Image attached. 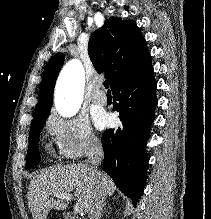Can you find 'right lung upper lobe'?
<instances>
[{
    "label": "right lung upper lobe",
    "instance_id": "right-lung-upper-lobe-1",
    "mask_svg": "<svg viewBox=\"0 0 211 219\" xmlns=\"http://www.w3.org/2000/svg\"><path fill=\"white\" fill-rule=\"evenodd\" d=\"M88 54L98 73H105L111 87L124 75L137 70L148 59L149 50L134 21L111 17L89 39ZM64 55L57 53L47 64L35 116L50 113L57 76ZM34 116V117H35Z\"/></svg>",
    "mask_w": 211,
    "mask_h": 219
}]
</instances>
